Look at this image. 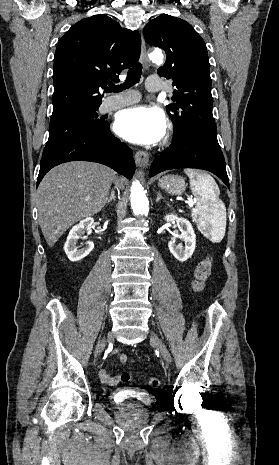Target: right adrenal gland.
<instances>
[{"label": "right adrenal gland", "instance_id": "right-adrenal-gland-1", "mask_svg": "<svg viewBox=\"0 0 279 465\" xmlns=\"http://www.w3.org/2000/svg\"><path fill=\"white\" fill-rule=\"evenodd\" d=\"M112 200H115V191L113 189L111 190V195H110V198L107 201V204H110V202Z\"/></svg>", "mask_w": 279, "mask_h": 465}]
</instances>
